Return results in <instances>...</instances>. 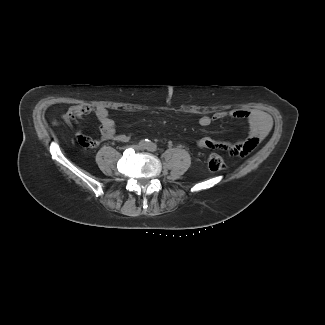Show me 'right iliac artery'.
Here are the masks:
<instances>
[{
    "label": "right iliac artery",
    "instance_id": "obj_1",
    "mask_svg": "<svg viewBox=\"0 0 325 325\" xmlns=\"http://www.w3.org/2000/svg\"><path fill=\"white\" fill-rule=\"evenodd\" d=\"M139 146L143 149L147 148L148 146V140L145 139V140H141L140 143H139Z\"/></svg>",
    "mask_w": 325,
    "mask_h": 325
}]
</instances>
